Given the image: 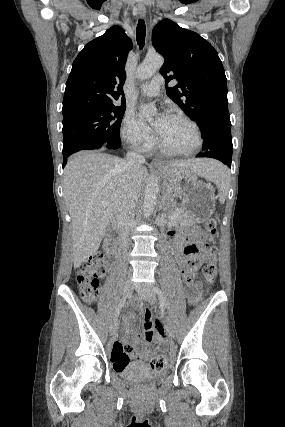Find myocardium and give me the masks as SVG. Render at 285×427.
I'll use <instances>...</instances> for the list:
<instances>
[{"mask_svg": "<svg viewBox=\"0 0 285 427\" xmlns=\"http://www.w3.org/2000/svg\"><path fill=\"white\" fill-rule=\"evenodd\" d=\"M168 116L187 122L193 128V130L195 132L196 144L193 148H191L189 150H179V149H176V148L168 145L167 143L162 141L160 139V137H158L157 141H158V144L160 145V147L164 151L172 153V154H176V155L187 156V155L195 154L203 145V136H202V132H201L199 125L193 119H191L189 116H187L183 113L174 112V113H169Z\"/></svg>", "mask_w": 285, "mask_h": 427, "instance_id": "1", "label": "myocardium"}]
</instances>
